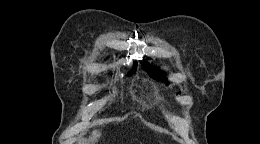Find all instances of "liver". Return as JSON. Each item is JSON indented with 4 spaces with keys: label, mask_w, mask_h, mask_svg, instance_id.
I'll list each match as a JSON object with an SVG mask.
<instances>
[{
    "label": "liver",
    "mask_w": 260,
    "mask_h": 144,
    "mask_svg": "<svg viewBox=\"0 0 260 144\" xmlns=\"http://www.w3.org/2000/svg\"><path fill=\"white\" fill-rule=\"evenodd\" d=\"M92 136H93V138L100 137V133L97 131H93Z\"/></svg>",
    "instance_id": "obj_1"
}]
</instances>
